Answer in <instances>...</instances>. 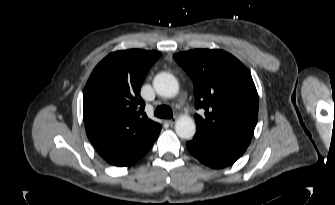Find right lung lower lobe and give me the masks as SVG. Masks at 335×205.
<instances>
[{
    "label": "right lung lower lobe",
    "mask_w": 335,
    "mask_h": 205,
    "mask_svg": "<svg viewBox=\"0 0 335 205\" xmlns=\"http://www.w3.org/2000/svg\"><path fill=\"white\" fill-rule=\"evenodd\" d=\"M135 163V162H134ZM131 164H133V163H131ZM131 164H128V165H131ZM128 165H124V166H128Z\"/></svg>",
    "instance_id": "98d812e1"
}]
</instances>
